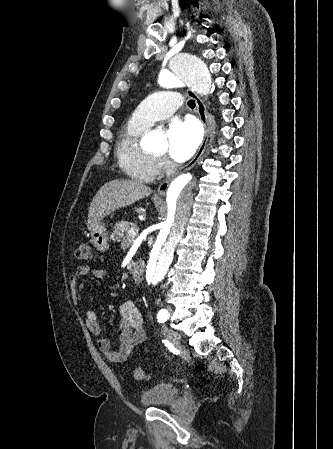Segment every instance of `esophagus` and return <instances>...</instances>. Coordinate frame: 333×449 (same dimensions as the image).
<instances>
[{
	"instance_id": "34e87169",
	"label": "esophagus",
	"mask_w": 333,
	"mask_h": 449,
	"mask_svg": "<svg viewBox=\"0 0 333 449\" xmlns=\"http://www.w3.org/2000/svg\"><path fill=\"white\" fill-rule=\"evenodd\" d=\"M188 95L195 100L196 103V110L198 113V116L204 126L205 132H204V139L201 143V145L199 146L195 156L192 158V160L185 166L184 170H190L199 160V158L202 156V154L204 153L208 140H209V136H210V122H209V117H208V112H207V108L203 102V100L191 89L187 90ZM171 182V179H168L164 182H162L158 189L157 192L159 195H164L169 184Z\"/></svg>"
}]
</instances>
